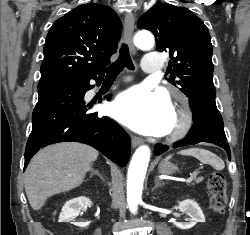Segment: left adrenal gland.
Here are the masks:
<instances>
[{"label":"left adrenal gland","mask_w":250,"mask_h":235,"mask_svg":"<svg viewBox=\"0 0 250 235\" xmlns=\"http://www.w3.org/2000/svg\"><path fill=\"white\" fill-rule=\"evenodd\" d=\"M164 183H161V181L156 177L155 178V186L153 187L152 191H154L156 188L163 186Z\"/></svg>","instance_id":"1"}]
</instances>
